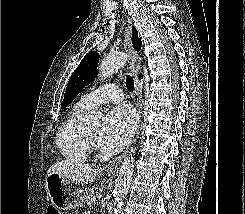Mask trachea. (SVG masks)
Masks as SVG:
<instances>
[{
  "mask_svg": "<svg viewBox=\"0 0 245 214\" xmlns=\"http://www.w3.org/2000/svg\"><path fill=\"white\" fill-rule=\"evenodd\" d=\"M126 87L130 92H133L134 90V80L132 76L128 75L126 78Z\"/></svg>",
  "mask_w": 245,
  "mask_h": 214,
  "instance_id": "1",
  "label": "trachea"
}]
</instances>
